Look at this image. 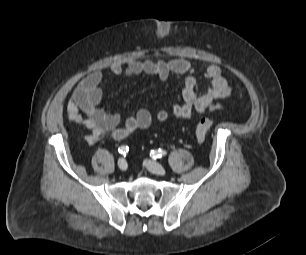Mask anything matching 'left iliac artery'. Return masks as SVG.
I'll list each match as a JSON object with an SVG mask.
<instances>
[{"label":"left iliac artery","mask_w":306,"mask_h":255,"mask_svg":"<svg viewBox=\"0 0 306 255\" xmlns=\"http://www.w3.org/2000/svg\"><path fill=\"white\" fill-rule=\"evenodd\" d=\"M166 154H167V152L165 150H162V149L151 150V152H150V156L153 159H159V158H161L162 156H164Z\"/></svg>","instance_id":"obj_1"}]
</instances>
